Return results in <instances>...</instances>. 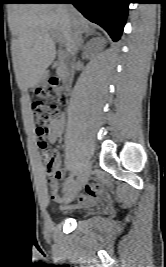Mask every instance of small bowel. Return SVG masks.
Wrapping results in <instances>:
<instances>
[{
  "instance_id": "c3829d8e",
  "label": "small bowel",
  "mask_w": 166,
  "mask_h": 267,
  "mask_svg": "<svg viewBox=\"0 0 166 267\" xmlns=\"http://www.w3.org/2000/svg\"><path fill=\"white\" fill-rule=\"evenodd\" d=\"M66 121L64 117H61L59 120L53 122L49 127L48 138L51 143H55L62 136L65 129ZM53 164L57 171V174L49 178L50 186V196L51 199L61 203L62 198L59 194V180L62 178V172L60 171V158L57 153L53 156ZM105 195V186L101 182H95L85 186V192L80 194L79 201L77 204L72 207H80L91 205L96 202L98 199L102 198Z\"/></svg>"
}]
</instances>
